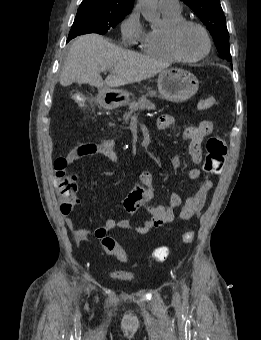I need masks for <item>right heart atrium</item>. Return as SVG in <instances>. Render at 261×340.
<instances>
[{"instance_id": "1", "label": "right heart atrium", "mask_w": 261, "mask_h": 340, "mask_svg": "<svg viewBox=\"0 0 261 340\" xmlns=\"http://www.w3.org/2000/svg\"><path fill=\"white\" fill-rule=\"evenodd\" d=\"M143 31L140 13L137 8H134L121 23L122 36L125 41H131L138 39Z\"/></svg>"}]
</instances>
